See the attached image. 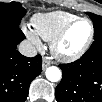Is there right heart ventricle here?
Listing matches in <instances>:
<instances>
[{
  "instance_id": "right-heart-ventricle-1",
  "label": "right heart ventricle",
  "mask_w": 102,
  "mask_h": 102,
  "mask_svg": "<svg viewBox=\"0 0 102 102\" xmlns=\"http://www.w3.org/2000/svg\"><path fill=\"white\" fill-rule=\"evenodd\" d=\"M74 14L64 11L37 13L31 19L33 31L43 40L51 41L62 29L77 19Z\"/></svg>"
}]
</instances>
